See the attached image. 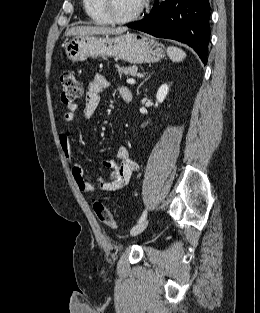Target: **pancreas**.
Here are the masks:
<instances>
[{
    "label": "pancreas",
    "instance_id": "1",
    "mask_svg": "<svg viewBox=\"0 0 260 313\" xmlns=\"http://www.w3.org/2000/svg\"><path fill=\"white\" fill-rule=\"evenodd\" d=\"M117 71H118V74L120 75V77L122 75H131V76H135L136 73H137V67L136 66H120V65H116L115 66Z\"/></svg>",
    "mask_w": 260,
    "mask_h": 313
}]
</instances>
